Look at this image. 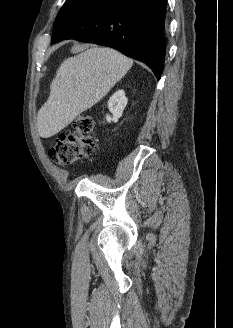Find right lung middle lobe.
Instances as JSON below:
<instances>
[{"instance_id": "dd1d6c3e", "label": "right lung middle lobe", "mask_w": 233, "mask_h": 328, "mask_svg": "<svg viewBox=\"0 0 233 328\" xmlns=\"http://www.w3.org/2000/svg\"><path fill=\"white\" fill-rule=\"evenodd\" d=\"M94 0H66L61 11L58 13L54 23L58 22L62 18L72 14L73 12L87 6Z\"/></svg>"}]
</instances>
